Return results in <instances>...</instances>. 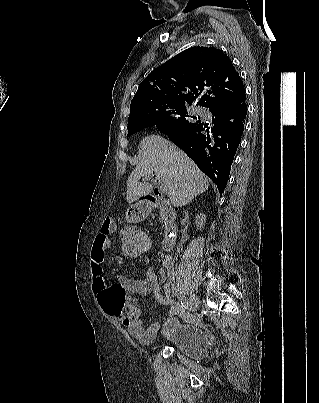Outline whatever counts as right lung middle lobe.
Wrapping results in <instances>:
<instances>
[{"mask_svg": "<svg viewBox=\"0 0 319 403\" xmlns=\"http://www.w3.org/2000/svg\"><path fill=\"white\" fill-rule=\"evenodd\" d=\"M186 106L181 104H165L152 107L142 115L128 121V136L147 128L156 126L159 131L167 134L184 130L194 123L189 122L185 116ZM180 115V117H175ZM197 119L196 117H193Z\"/></svg>", "mask_w": 319, "mask_h": 403, "instance_id": "dd1d6c3e", "label": "right lung middle lobe"}]
</instances>
